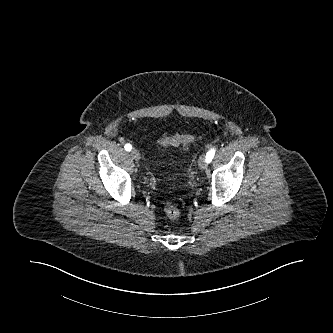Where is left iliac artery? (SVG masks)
<instances>
[{
  "label": "left iliac artery",
  "instance_id": "44dca946",
  "mask_svg": "<svg viewBox=\"0 0 333 333\" xmlns=\"http://www.w3.org/2000/svg\"><path fill=\"white\" fill-rule=\"evenodd\" d=\"M215 152H216L215 148H211L207 152V154H206V161H207V163H210L212 161V159H213V157L215 155Z\"/></svg>",
  "mask_w": 333,
  "mask_h": 333
}]
</instances>
